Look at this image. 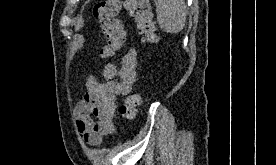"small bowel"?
<instances>
[{
  "label": "small bowel",
  "instance_id": "obj_1",
  "mask_svg": "<svg viewBox=\"0 0 276 165\" xmlns=\"http://www.w3.org/2000/svg\"><path fill=\"white\" fill-rule=\"evenodd\" d=\"M137 52L129 49L119 67L113 63L104 66V82L91 75L86 92L75 106L76 125L83 140L92 146L99 145L103 137L115 128L116 98L127 96L137 79Z\"/></svg>",
  "mask_w": 276,
  "mask_h": 165
}]
</instances>
